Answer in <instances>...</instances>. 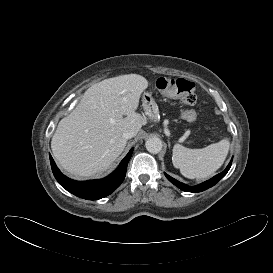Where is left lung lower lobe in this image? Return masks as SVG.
<instances>
[{"label":"left lung lower lobe","instance_id":"1","mask_svg":"<svg viewBox=\"0 0 273 273\" xmlns=\"http://www.w3.org/2000/svg\"><path fill=\"white\" fill-rule=\"evenodd\" d=\"M231 163H232V159L230 161V163L228 164V166L226 167V169L217 174L216 176H214L213 178H211L210 180H207L199 185H196L194 187H189L179 181H177L176 179L172 178L171 176H169L168 174L165 173V176L167 177V179L172 182L175 186H177L178 188H180L183 191L186 192H201L204 191L212 186H214L220 179H222L227 172L229 171L230 167H231Z\"/></svg>","mask_w":273,"mask_h":273}]
</instances>
